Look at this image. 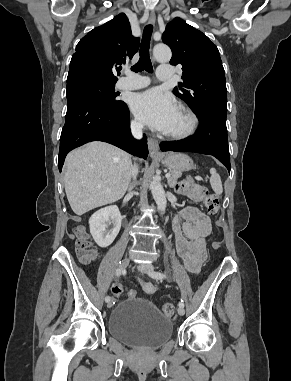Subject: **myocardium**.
<instances>
[{
	"mask_svg": "<svg viewBox=\"0 0 291 381\" xmlns=\"http://www.w3.org/2000/svg\"><path fill=\"white\" fill-rule=\"evenodd\" d=\"M179 110L184 113V115L188 119V125L185 129L178 131V132H165L164 135L167 138L173 139V140H184L192 135L195 134V132L198 129L199 126V118L197 114L188 106L186 105H180Z\"/></svg>",
	"mask_w": 291,
	"mask_h": 381,
	"instance_id": "myocardium-1",
	"label": "myocardium"
}]
</instances>
